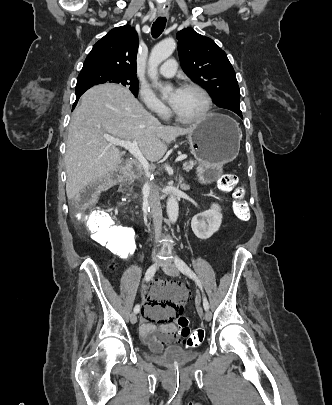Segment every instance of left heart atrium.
I'll use <instances>...</instances> for the list:
<instances>
[{"label": "left heart atrium", "mask_w": 332, "mask_h": 405, "mask_svg": "<svg viewBox=\"0 0 332 405\" xmlns=\"http://www.w3.org/2000/svg\"><path fill=\"white\" fill-rule=\"evenodd\" d=\"M179 91H180L179 89L175 90V91H174V96H176ZM170 103H171V105H172V102H170Z\"/></svg>", "instance_id": "obj_1"}]
</instances>
